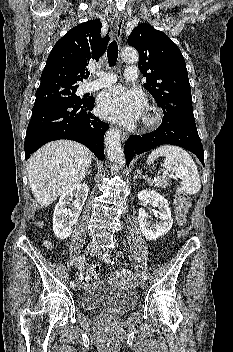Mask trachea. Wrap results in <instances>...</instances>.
Segmentation results:
<instances>
[{
	"instance_id": "3493384b",
	"label": "trachea",
	"mask_w": 233,
	"mask_h": 352,
	"mask_svg": "<svg viewBox=\"0 0 233 352\" xmlns=\"http://www.w3.org/2000/svg\"><path fill=\"white\" fill-rule=\"evenodd\" d=\"M107 58H108L109 66L116 65L117 58H118V45L116 41H112L109 44L108 51H107ZM88 75L86 77H88Z\"/></svg>"
}]
</instances>
